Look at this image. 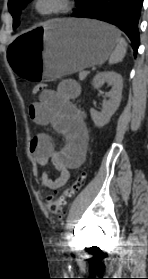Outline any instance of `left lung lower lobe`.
Here are the masks:
<instances>
[{"instance_id":"left-lung-lower-lobe-1","label":"left lung lower lobe","mask_w":148,"mask_h":279,"mask_svg":"<svg viewBox=\"0 0 148 279\" xmlns=\"http://www.w3.org/2000/svg\"><path fill=\"white\" fill-rule=\"evenodd\" d=\"M143 0H80L72 17L94 18L111 23L130 38L134 54L140 44L138 22Z\"/></svg>"}]
</instances>
